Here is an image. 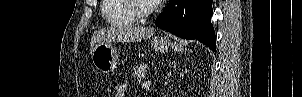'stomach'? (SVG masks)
<instances>
[{"mask_svg":"<svg viewBox=\"0 0 302 97\" xmlns=\"http://www.w3.org/2000/svg\"><path fill=\"white\" fill-rule=\"evenodd\" d=\"M153 49L160 53H166L169 50L181 51L182 45L179 41L171 42L167 37H154L151 40ZM91 60L94 67L102 73H110L117 68L119 59L112 41L97 43L91 52Z\"/></svg>","mask_w":302,"mask_h":97,"instance_id":"0dacf381","label":"stomach"}]
</instances>
